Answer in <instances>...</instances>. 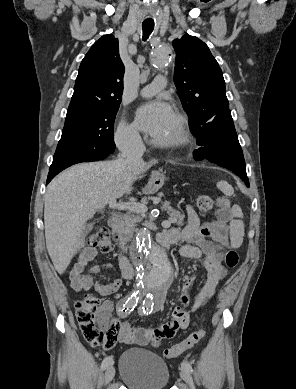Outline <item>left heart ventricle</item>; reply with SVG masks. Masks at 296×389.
Segmentation results:
<instances>
[{"label":"left heart ventricle","mask_w":296,"mask_h":389,"mask_svg":"<svg viewBox=\"0 0 296 389\" xmlns=\"http://www.w3.org/2000/svg\"><path fill=\"white\" fill-rule=\"evenodd\" d=\"M175 131H176V120L173 117V119L171 120L170 124L166 127V129L156 138L169 139V138L173 137V135L175 134Z\"/></svg>","instance_id":"obj_1"}]
</instances>
